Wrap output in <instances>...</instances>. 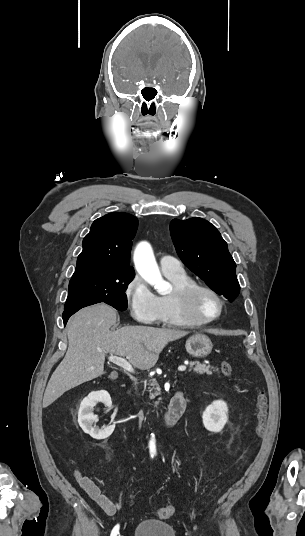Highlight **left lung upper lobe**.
Here are the masks:
<instances>
[{
  "label": "left lung upper lobe",
  "instance_id": "5c2ea615",
  "mask_svg": "<svg viewBox=\"0 0 305 536\" xmlns=\"http://www.w3.org/2000/svg\"><path fill=\"white\" fill-rule=\"evenodd\" d=\"M170 232L184 264L213 291L233 301L240 291L236 263L216 227L198 217L173 219Z\"/></svg>",
  "mask_w": 305,
  "mask_h": 536
}]
</instances>
